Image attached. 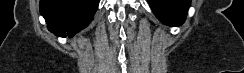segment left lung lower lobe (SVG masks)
Listing matches in <instances>:
<instances>
[{
	"instance_id": "1",
	"label": "left lung lower lobe",
	"mask_w": 244,
	"mask_h": 73,
	"mask_svg": "<svg viewBox=\"0 0 244 73\" xmlns=\"http://www.w3.org/2000/svg\"><path fill=\"white\" fill-rule=\"evenodd\" d=\"M156 17L168 26H180L185 21L191 0H148Z\"/></svg>"
}]
</instances>
